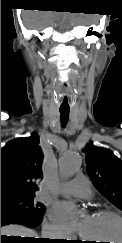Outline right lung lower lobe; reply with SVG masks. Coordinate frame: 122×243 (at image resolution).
Instances as JSON below:
<instances>
[{
	"label": "right lung lower lobe",
	"mask_w": 122,
	"mask_h": 243,
	"mask_svg": "<svg viewBox=\"0 0 122 243\" xmlns=\"http://www.w3.org/2000/svg\"><path fill=\"white\" fill-rule=\"evenodd\" d=\"M42 222V217H37L29 212L16 209L1 208V226L8 224H22L28 227H36ZM27 243H53L46 239H25Z\"/></svg>",
	"instance_id": "obj_1"
}]
</instances>
